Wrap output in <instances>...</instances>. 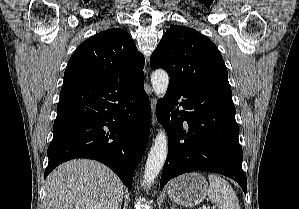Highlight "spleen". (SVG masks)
Returning <instances> with one entry per match:
<instances>
[{"mask_svg":"<svg viewBox=\"0 0 299 209\" xmlns=\"http://www.w3.org/2000/svg\"><path fill=\"white\" fill-rule=\"evenodd\" d=\"M209 199L218 204L219 209H240L238 197L231 185L215 174H209Z\"/></svg>","mask_w":299,"mask_h":209,"instance_id":"spleen-1","label":"spleen"}]
</instances>
